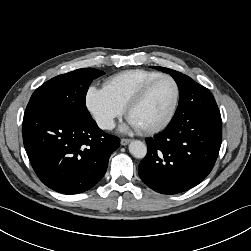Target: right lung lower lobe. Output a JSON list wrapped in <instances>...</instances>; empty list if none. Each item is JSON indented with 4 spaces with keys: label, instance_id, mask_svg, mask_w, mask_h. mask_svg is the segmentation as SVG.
<instances>
[{
    "label": "right lung lower lobe",
    "instance_id": "1",
    "mask_svg": "<svg viewBox=\"0 0 251 251\" xmlns=\"http://www.w3.org/2000/svg\"><path fill=\"white\" fill-rule=\"evenodd\" d=\"M24 147L39 179L63 194L92 188L104 176L120 139L102 131L90 118L38 105L27 106L23 119Z\"/></svg>",
    "mask_w": 251,
    "mask_h": 251
}]
</instances>
